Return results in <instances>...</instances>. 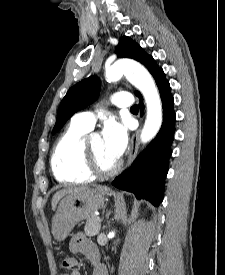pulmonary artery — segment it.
I'll return each mask as SVG.
<instances>
[{"label": "pulmonary artery", "mask_w": 225, "mask_h": 275, "mask_svg": "<svg viewBox=\"0 0 225 275\" xmlns=\"http://www.w3.org/2000/svg\"><path fill=\"white\" fill-rule=\"evenodd\" d=\"M113 105L119 108L134 106L133 96L129 92H116L111 96ZM96 121L95 114L92 112H81L73 116L72 122L82 127L91 129Z\"/></svg>", "instance_id": "e3ab8cb5"}]
</instances>
